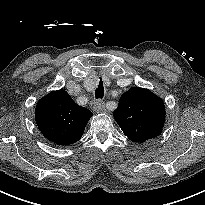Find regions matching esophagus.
I'll return each mask as SVG.
<instances>
[{
    "mask_svg": "<svg viewBox=\"0 0 205 205\" xmlns=\"http://www.w3.org/2000/svg\"><path fill=\"white\" fill-rule=\"evenodd\" d=\"M94 110L98 113L105 112V103L101 100L96 101L94 104Z\"/></svg>",
    "mask_w": 205,
    "mask_h": 205,
    "instance_id": "1",
    "label": "esophagus"
}]
</instances>
